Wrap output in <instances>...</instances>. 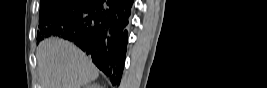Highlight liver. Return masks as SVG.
Segmentation results:
<instances>
[{"label": "liver", "mask_w": 267, "mask_h": 88, "mask_svg": "<svg viewBox=\"0 0 267 88\" xmlns=\"http://www.w3.org/2000/svg\"><path fill=\"white\" fill-rule=\"evenodd\" d=\"M36 58L40 88H81L99 75L78 47L56 37L39 43Z\"/></svg>", "instance_id": "obj_1"}]
</instances>
